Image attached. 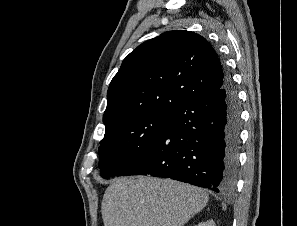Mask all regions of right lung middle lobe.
Here are the masks:
<instances>
[{
	"label": "right lung middle lobe",
	"mask_w": 297,
	"mask_h": 226,
	"mask_svg": "<svg viewBox=\"0 0 297 226\" xmlns=\"http://www.w3.org/2000/svg\"><path fill=\"white\" fill-rule=\"evenodd\" d=\"M173 116L174 111H152L107 126L99 147L101 176L113 177L133 162L171 123Z\"/></svg>",
	"instance_id": "1"
}]
</instances>
